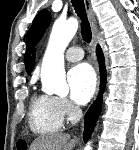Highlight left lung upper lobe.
Returning a JSON list of instances; mask_svg holds the SVG:
<instances>
[{
  "label": "left lung upper lobe",
  "mask_w": 139,
  "mask_h": 150,
  "mask_svg": "<svg viewBox=\"0 0 139 150\" xmlns=\"http://www.w3.org/2000/svg\"><path fill=\"white\" fill-rule=\"evenodd\" d=\"M51 15L47 10H42L37 14L35 17L31 28L29 29L26 37V53H25V66L26 71H30V54L36 45V43L41 39L42 35L44 34L45 29L48 27L50 23Z\"/></svg>",
  "instance_id": "5c2ea615"
}]
</instances>
